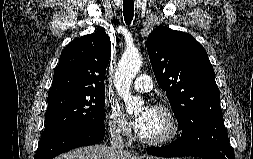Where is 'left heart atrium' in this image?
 <instances>
[{"mask_svg":"<svg viewBox=\"0 0 253 159\" xmlns=\"http://www.w3.org/2000/svg\"><path fill=\"white\" fill-rule=\"evenodd\" d=\"M152 112L151 107H145L140 114L135 118L134 124L138 131L142 130L149 119Z\"/></svg>","mask_w":253,"mask_h":159,"instance_id":"39dd6f15","label":"left heart atrium"}]
</instances>
